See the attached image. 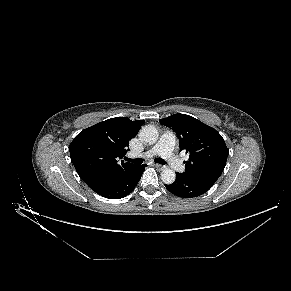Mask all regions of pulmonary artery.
Returning a JSON list of instances; mask_svg holds the SVG:
<instances>
[{"instance_id": "e3ab8cb5", "label": "pulmonary artery", "mask_w": 291, "mask_h": 291, "mask_svg": "<svg viewBox=\"0 0 291 291\" xmlns=\"http://www.w3.org/2000/svg\"><path fill=\"white\" fill-rule=\"evenodd\" d=\"M175 143V135L172 132H165L158 143L146 151L144 156L152 157L161 155L174 170L181 172L184 170V165L174 153Z\"/></svg>"}]
</instances>
